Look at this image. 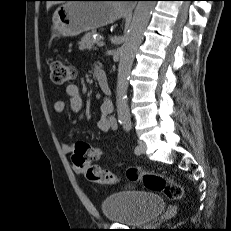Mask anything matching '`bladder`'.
Segmentation results:
<instances>
[{
    "instance_id": "31cf9c89",
    "label": "bladder",
    "mask_w": 231,
    "mask_h": 231,
    "mask_svg": "<svg viewBox=\"0 0 231 231\" xmlns=\"http://www.w3.org/2000/svg\"><path fill=\"white\" fill-rule=\"evenodd\" d=\"M105 219L129 226L152 223L164 211L165 201L157 194L143 191L114 193L101 202Z\"/></svg>"
}]
</instances>
